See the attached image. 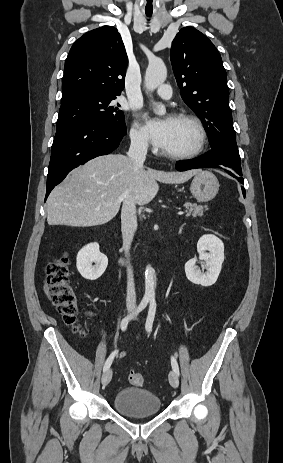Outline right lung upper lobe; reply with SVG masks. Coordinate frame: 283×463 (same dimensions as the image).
<instances>
[{
	"label": "right lung upper lobe",
	"instance_id": "right-lung-upper-lobe-1",
	"mask_svg": "<svg viewBox=\"0 0 283 463\" xmlns=\"http://www.w3.org/2000/svg\"><path fill=\"white\" fill-rule=\"evenodd\" d=\"M127 54L112 26L87 32L65 61L61 105L90 95L119 96L124 88Z\"/></svg>",
	"mask_w": 283,
	"mask_h": 463
}]
</instances>
